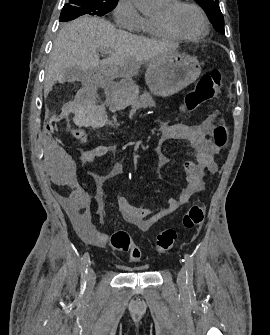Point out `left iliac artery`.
Wrapping results in <instances>:
<instances>
[{
  "label": "left iliac artery",
  "mask_w": 270,
  "mask_h": 335,
  "mask_svg": "<svg viewBox=\"0 0 270 335\" xmlns=\"http://www.w3.org/2000/svg\"><path fill=\"white\" fill-rule=\"evenodd\" d=\"M185 266L187 270V280L186 284L189 288L193 287V270H194V260L193 257L189 254L184 256Z\"/></svg>",
  "instance_id": "44dca946"
}]
</instances>
